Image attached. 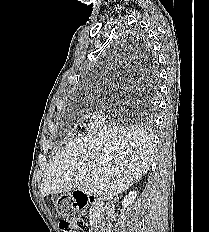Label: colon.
<instances>
[{
	"mask_svg": "<svg viewBox=\"0 0 209 232\" xmlns=\"http://www.w3.org/2000/svg\"><path fill=\"white\" fill-rule=\"evenodd\" d=\"M60 228L64 232H89L88 224L80 217L75 218L74 221L68 219L61 221Z\"/></svg>",
	"mask_w": 209,
	"mask_h": 232,
	"instance_id": "5ec220e1",
	"label": "colon"
}]
</instances>
